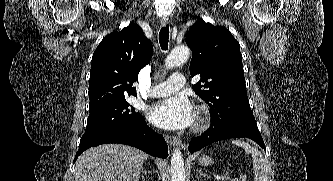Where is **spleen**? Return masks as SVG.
<instances>
[{
    "label": "spleen",
    "mask_w": 333,
    "mask_h": 181,
    "mask_svg": "<svg viewBox=\"0 0 333 181\" xmlns=\"http://www.w3.org/2000/svg\"><path fill=\"white\" fill-rule=\"evenodd\" d=\"M232 143L236 146L243 148L246 154L252 155V162L254 168V181H268L270 174V166L268 161L263 157L262 153L255 147L247 142L241 140H233Z\"/></svg>",
    "instance_id": "3e777b00"
}]
</instances>
